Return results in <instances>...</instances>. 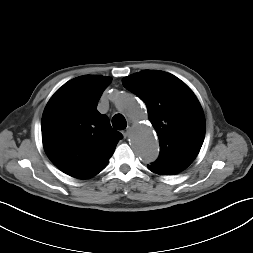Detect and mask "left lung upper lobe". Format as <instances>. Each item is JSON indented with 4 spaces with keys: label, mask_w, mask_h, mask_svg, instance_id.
Segmentation results:
<instances>
[{
    "label": "left lung upper lobe",
    "mask_w": 253,
    "mask_h": 253,
    "mask_svg": "<svg viewBox=\"0 0 253 253\" xmlns=\"http://www.w3.org/2000/svg\"><path fill=\"white\" fill-rule=\"evenodd\" d=\"M122 83L145 102L158 134L160 154L152 165L184 170L199 153L206 128L192 90L174 75L159 70H143L124 77Z\"/></svg>",
    "instance_id": "obj_1"
}]
</instances>
